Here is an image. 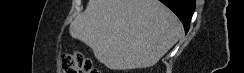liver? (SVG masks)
<instances>
[{"mask_svg":"<svg viewBox=\"0 0 244 73\" xmlns=\"http://www.w3.org/2000/svg\"><path fill=\"white\" fill-rule=\"evenodd\" d=\"M113 70L151 67L177 43L183 27L158 0H89L69 27Z\"/></svg>","mask_w":244,"mask_h":73,"instance_id":"6515ba94","label":"liver"}]
</instances>
